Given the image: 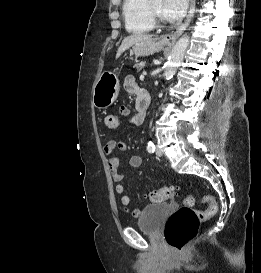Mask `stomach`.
I'll return each mask as SVG.
<instances>
[{
  "label": "stomach",
  "mask_w": 261,
  "mask_h": 273,
  "mask_svg": "<svg viewBox=\"0 0 261 273\" xmlns=\"http://www.w3.org/2000/svg\"><path fill=\"white\" fill-rule=\"evenodd\" d=\"M165 44L160 39H149L138 42L130 50L136 56H147L160 51ZM118 77L110 71L103 72L93 86L94 106L98 109H107L118 97Z\"/></svg>",
  "instance_id": "0dacf381"
}]
</instances>
